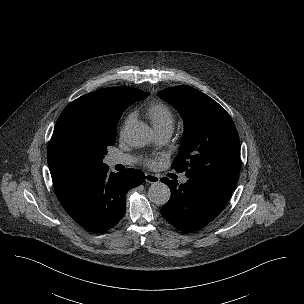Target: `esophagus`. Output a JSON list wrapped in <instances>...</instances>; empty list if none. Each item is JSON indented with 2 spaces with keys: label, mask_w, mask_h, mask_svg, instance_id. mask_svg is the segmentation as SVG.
<instances>
[{
  "label": "esophagus",
  "mask_w": 304,
  "mask_h": 304,
  "mask_svg": "<svg viewBox=\"0 0 304 304\" xmlns=\"http://www.w3.org/2000/svg\"><path fill=\"white\" fill-rule=\"evenodd\" d=\"M145 180L148 183L155 184V183H158L160 179L156 175H153V174H150V173H146L145 174Z\"/></svg>",
  "instance_id": "obj_1"
}]
</instances>
